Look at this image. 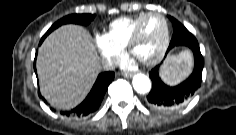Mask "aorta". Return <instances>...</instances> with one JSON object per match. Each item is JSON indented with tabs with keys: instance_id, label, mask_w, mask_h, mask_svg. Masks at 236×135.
I'll use <instances>...</instances> for the list:
<instances>
[{
	"instance_id": "1",
	"label": "aorta",
	"mask_w": 236,
	"mask_h": 135,
	"mask_svg": "<svg viewBox=\"0 0 236 135\" xmlns=\"http://www.w3.org/2000/svg\"><path fill=\"white\" fill-rule=\"evenodd\" d=\"M132 85H133L134 90L140 94H145L149 92L151 89L150 79L148 78V76L141 73L136 74L133 77Z\"/></svg>"
}]
</instances>
